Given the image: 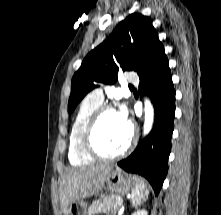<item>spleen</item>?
Instances as JSON below:
<instances>
[{"instance_id": "3e777b00", "label": "spleen", "mask_w": 221, "mask_h": 215, "mask_svg": "<svg viewBox=\"0 0 221 215\" xmlns=\"http://www.w3.org/2000/svg\"><path fill=\"white\" fill-rule=\"evenodd\" d=\"M133 177L135 180V186L132 190V204L133 206H138L142 203V201L148 199L149 190L147 188V185L141 178L137 176Z\"/></svg>"}]
</instances>
